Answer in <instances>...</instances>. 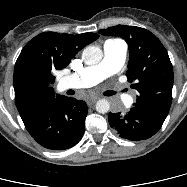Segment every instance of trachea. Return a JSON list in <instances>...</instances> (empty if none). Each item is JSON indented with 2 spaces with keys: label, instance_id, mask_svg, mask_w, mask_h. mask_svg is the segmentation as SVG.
<instances>
[{
  "label": "trachea",
  "instance_id": "1",
  "mask_svg": "<svg viewBox=\"0 0 187 187\" xmlns=\"http://www.w3.org/2000/svg\"><path fill=\"white\" fill-rule=\"evenodd\" d=\"M113 94H115V92H113V91H110L109 95H113Z\"/></svg>",
  "mask_w": 187,
  "mask_h": 187
}]
</instances>
